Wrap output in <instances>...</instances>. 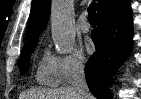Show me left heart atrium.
<instances>
[{
  "instance_id": "39dd6f15",
  "label": "left heart atrium",
  "mask_w": 141,
  "mask_h": 99,
  "mask_svg": "<svg viewBox=\"0 0 141 99\" xmlns=\"http://www.w3.org/2000/svg\"><path fill=\"white\" fill-rule=\"evenodd\" d=\"M92 48H93V44L91 41H87L86 42V49L88 52H91L92 51Z\"/></svg>"
}]
</instances>
